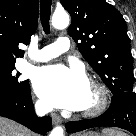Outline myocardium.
<instances>
[{
	"label": "myocardium",
	"instance_id": "f54148a6",
	"mask_svg": "<svg viewBox=\"0 0 136 136\" xmlns=\"http://www.w3.org/2000/svg\"><path fill=\"white\" fill-rule=\"evenodd\" d=\"M89 85L96 94V100L93 105L82 109L81 114L86 117H93L101 114L108 106L109 95L106 87L97 80H90Z\"/></svg>",
	"mask_w": 136,
	"mask_h": 136
}]
</instances>
